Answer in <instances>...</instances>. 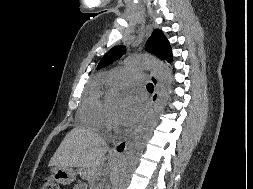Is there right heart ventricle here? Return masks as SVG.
<instances>
[{
    "label": "right heart ventricle",
    "instance_id": "obj_1",
    "mask_svg": "<svg viewBox=\"0 0 253 189\" xmlns=\"http://www.w3.org/2000/svg\"><path fill=\"white\" fill-rule=\"evenodd\" d=\"M107 84L92 86L80 109L79 120L81 124L93 131H104L111 122V112L103 101Z\"/></svg>",
    "mask_w": 253,
    "mask_h": 189
}]
</instances>
